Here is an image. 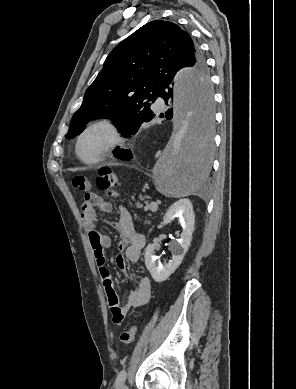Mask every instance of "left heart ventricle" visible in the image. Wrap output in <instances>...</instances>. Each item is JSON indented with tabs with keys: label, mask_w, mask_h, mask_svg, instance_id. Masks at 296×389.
<instances>
[{
	"label": "left heart ventricle",
	"mask_w": 296,
	"mask_h": 389,
	"mask_svg": "<svg viewBox=\"0 0 296 389\" xmlns=\"http://www.w3.org/2000/svg\"><path fill=\"white\" fill-rule=\"evenodd\" d=\"M106 142V135L103 131L89 133L81 143L80 151L85 158H93Z\"/></svg>",
	"instance_id": "1"
}]
</instances>
